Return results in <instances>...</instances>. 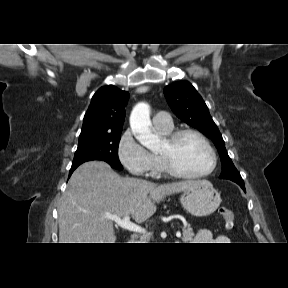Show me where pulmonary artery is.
Listing matches in <instances>:
<instances>
[{
	"instance_id": "pulmonary-artery-1",
	"label": "pulmonary artery",
	"mask_w": 288,
	"mask_h": 288,
	"mask_svg": "<svg viewBox=\"0 0 288 288\" xmlns=\"http://www.w3.org/2000/svg\"><path fill=\"white\" fill-rule=\"evenodd\" d=\"M155 128L168 130L173 127L171 116L168 112L162 111L157 113L153 118Z\"/></svg>"
}]
</instances>
